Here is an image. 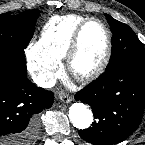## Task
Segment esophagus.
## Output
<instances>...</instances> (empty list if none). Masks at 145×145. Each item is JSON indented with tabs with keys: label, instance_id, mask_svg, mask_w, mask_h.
I'll list each match as a JSON object with an SVG mask.
<instances>
[{
	"label": "esophagus",
	"instance_id": "1",
	"mask_svg": "<svg viewBox=\"0 0 145 145\" xmlns=\"http://www.w3.org/2000/svg\"><path fill=\"white\" fill-rule=\"evenodd\" d=\"M59 99L64 103H70L72 101V98L65 94H60Z\"/></svg>",
	"mask_w": 145,
	"mask_h": 145
}]
</instances>
